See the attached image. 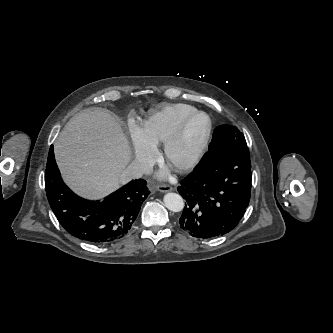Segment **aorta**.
Segmentation results:
<instances>
[{
    "instance_id": "obj_1",
    "label": "aorta",
    "mask_w": 333,
    "mask_h": 333,
    "mask_svg": "<svg viewBox=\"0 0 333 333\" xmlns=\"http://www.w3.org/2000/svg\"><path fill=\"white\" fill-rule=\"evenodd\" d=\"M164 204L170 211L173 212H180L184 208L183 198L176 193H167L164 196Z\"/></svg>"
}]
</instances>
